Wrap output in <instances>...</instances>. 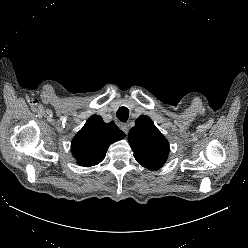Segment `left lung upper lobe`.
Returning a JSON list of instances; mask_svg holds the SVG:
<instances>
[{"label": "left lung upper lobe", "instance_id": "5c2ea615", "mask_svg": "<svg viewBox=\"0 0 248 248\" xmlns=\"http://www.w3.org/2000/svg\"><path fill=\"white\" fill-rule=\"evenodd\" d=\"M129 144L139 164L158 170L167 160L169 143L147 116H140L135 121L128 135Z\"/></svg>", "mask_w": 248, "mask_h": 248}]
</instances>
